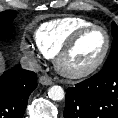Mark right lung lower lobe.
<instances>
[{
	"label": "right lung lower lobe",
	"mask_w": 118,
	"mask_h": 118,
	"mask_svg": "<svg viewBox=\"0 0 118 118\" xmlns=\"http://www.w3.org/2000/svg\"><path fill=\"white\" fill-rule=\"evenodd\" d=\"M37 87V74L10 69L0 77V118H22L31 92Z\"/></svg>",
	"instance_id": "98d812e1"
}]
</instances>
